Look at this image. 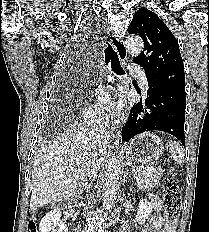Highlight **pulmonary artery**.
Returning <instances> with one entry per match:
<instances>
[{
    "label": "pulmonary artery",
    "mask_w": 209,
    "mask_h": 232,
    "mask_svg": "<svg viewBox=\"0 0 209 232\" xmlns=\"http://www.w3.org/2000/svg\"><path fill=\"white\" fill-rule=\"evenodd\" d=\"M130 70L139 79L141 87L146 90L148 88V82L144 71L136 66H131Z\"/></svg>",
    "instance_id": "obj_1"
}]
</instances>
